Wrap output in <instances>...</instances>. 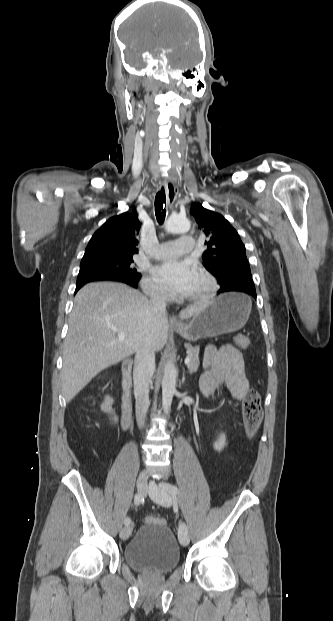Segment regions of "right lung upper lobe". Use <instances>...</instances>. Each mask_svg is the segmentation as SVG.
I'll list each match as a JSON object with an SVG mask.
<instances>
[{"instance_id":"1","label":"right lung upper lobe","mask_w":333,"mask_h":621,"mask_svg":"<svg viewBox=\"0 0 333 621\" xmlns=\"http://www.w3.org/2000/svg\"><path fill=\"white\" fill-rule=\"evenodd\" d=\"M140 227L136 210L111 217L94 233L82 259L132 257Z\"/></svg>"}]
</instances>
